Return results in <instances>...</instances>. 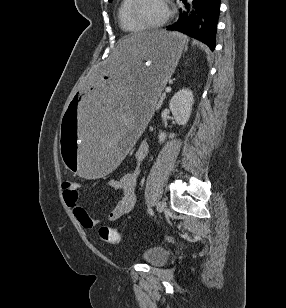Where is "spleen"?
<instances>
[{"label":"spleen","mask_w":286,"mask_h":308,"mask_svg":"<svg viewBox=\"0 0 286 308\" xmlns=\"http://www.w3.org/2000/svg\"><path fill=\"white\" fill-rule=\"evenodd\" d=\"M192 44H193V45H197V46H199L202 50H204V51L206 52V54H207V59H208V61H210L209 51H208V49H207V47H206L205 45H203L202 43H200V42H198V41H196V40H193Z\"/></svg>","instance_id":"spleen-1"}]
</instances>
